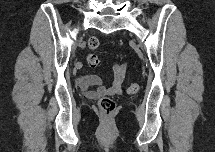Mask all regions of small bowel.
Wrapping results in <instances>:
<instances>
[{
	"label": "small bowel",
	"instance_id": "c3829d8e",
	"mask_svg": "<svg viewBox=\"0 0 215 152\" xmlns=\"http://www.w3.org/2000/svg\"><path fill=\"white\" fill-rule=\"evenodd\" d=\"M114 76L110 86H105L103 80L95 74H87L77 79L78 87L89 99H97L104 95L119 94L125 75V66L114 64Z\"/></svg>",
	"mask_w": 215,
	"mask_h": 152
}]
</instances>
